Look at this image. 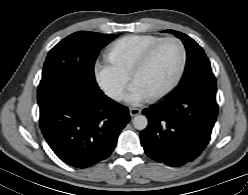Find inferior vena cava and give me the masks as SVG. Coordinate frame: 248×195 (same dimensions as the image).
<instances>
[{"label": "inferior vena cava", "instance_id": "inferior-vena-cava-1", "mask_svg": "<svg viewBox=\"0 0 248 195\" xmlns=\"http://www.w3.org/2000/svg\"><path fill=\"white\" fill-rule=\"evenodd\" d=\"M108 96L113 99H118L121 96V93L119 91H110L108 92Z\"/></svg>", "mask_w": 248, "mask_h": 195}]
</instances>
